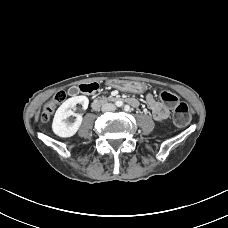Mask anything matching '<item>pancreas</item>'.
I'll return each instance as SVG.
<instances>
[{
  "mask_svg": "<svg viewBox=\"0 0 228 228\" xmlns=\"http://www.w3.org/2000/svg\"><path fill=\"white\" fill-rule=\"evenodd\" d=\"M103 101H107V99H103Z\"/></svg>",
  "mask_w": 228,
  "mask_h": 228,
  "instance_id": "cf45deb5",
  "label": "pancreas"
}]
</instances>
